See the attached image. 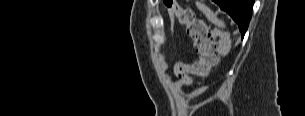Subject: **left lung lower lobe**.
Returning <instances> with one entry per match:
<instances>
[{"label":"left lung lower lobe","mask_w":305,"mask_h":116,"mask_svg":"<svg viewBox=\"0 0 305 116\" xmlns=\"http://www.w3.org/2000/svg\"><path fill=\"white\" fill-rule=\"evenodd\" d=\"M238 24L242 38L248 28L254 0H214Z\"/></svg>","instance_id":"obj_1"}]
</instances>
